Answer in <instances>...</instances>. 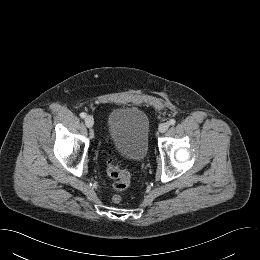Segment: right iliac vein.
Segmentation results:
<instances>
[{
  "label": "right iliac vein",
  "mask_w": 260,
  "mask_h": 260,
  "mask_svg": "<svg viewBox=\"0 0 260 260\" xmlns=\"http://www.w3.org/2000/svg\"><path fill=\"white\" fill-rule=\"evenodd\" d=\"M85 125L88 127V128H91L93 127L94 125V119L92 116L88 115L85 117Z\"/></svg>",
  "instance_id": "obj_1"
}]
</instances>
